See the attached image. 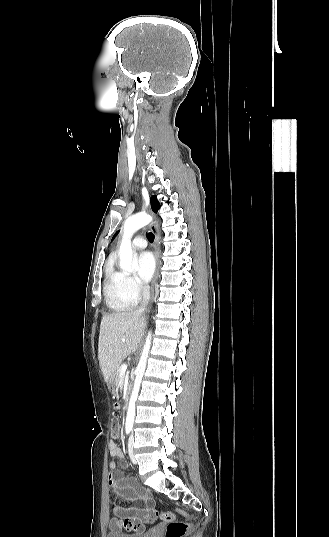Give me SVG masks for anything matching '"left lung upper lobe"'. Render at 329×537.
Listing matches in <instances>:
<instances>
[{"label":"left lung upper lobe","mask_w":329,"mask_h":537,"mask_svg":"<svg viewBox=\"0 0 329 537\" xmlns=\"http://www.w3.org/2000/svg\"><path fill=\"white\" fill-rule=\"evenodd\" d=\"M152 208L155 212H157L160 208L159 203L157 202L156 196L152 197Z\"/></svg>","instance_id":"left-lung-upper-lobe-1"}]
</instances>
